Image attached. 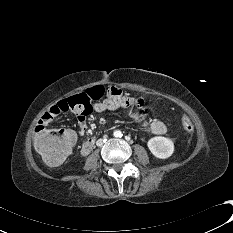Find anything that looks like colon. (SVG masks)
<instances>
[{"label": "colon", "mask_w": 233, "mask_h": 233, "mask_svg": "<svg viewBox=\"0 0 233 233\" xmlns=\"http://www.w3.org/2000/svg\"><path fill=\"white\" fill-rule=\"evenodd\" d=\"M109 89L102 85L89 87L84 92L62 101L64 109L89 111L94 103L107 94ZM178 119L182 122L184 131L192 134L194 127L188 114L182 112ZM33 142L44 163L53 168L60 167L67 160L74 144L73 133L70 130H50L40 127L36 128Z\"/></svg>", "instance_id": "colon-1"}]
</instances>
